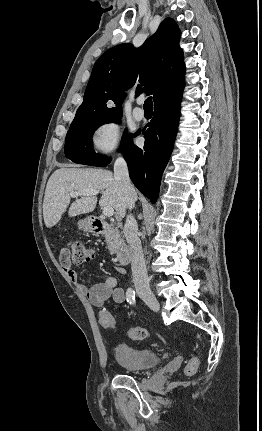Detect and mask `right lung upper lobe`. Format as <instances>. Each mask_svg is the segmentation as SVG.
Listing matches in <instances>:
<instances>
[{
  "mask_svg": "<svg viewBox=\"0 0 262 431\" xmlns=\"http://www.w3.org/2000/svg\"><path fill=\"white\" fill-rule=\"evenodd\" d=\"M179 39L177 24L166 18L140 48L124 43L107 50L93 67L74 120L122 116L125 90L136 80L145 85H138L137 95L147 90L154 95V105L181 93L185 65Z\"/></svg>",
  "mask_w": 262,
  "mask_h": 431,
  "instance_id": "1",
  "label": "right lung upper lobe"
}]
</instances>
